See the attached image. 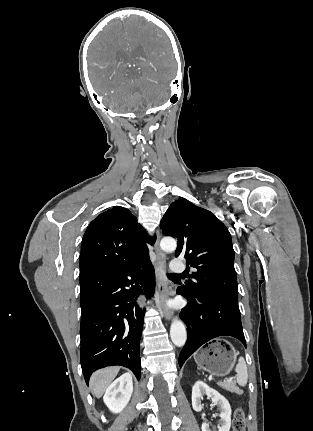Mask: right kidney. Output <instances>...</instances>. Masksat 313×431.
I'll use <instances>...</instances> for the list:
<instances>
[{
	"instance_id": "obj_1",
	"label": "right kidney",
	"mask_w": 313,
	"mask_h": 431,
	"mask_svg": "<svg viewBox=\"0 0 313 431\" xmlns=\"http://www.w3.org/2000/svg\"><path fill=\"white\" fill-rule=\"evenodd\" d=\"M132 392V375L125 373L108 386L103 400L110 411L119 413L127 406Z\"/></svg>"
}]
</instances>
